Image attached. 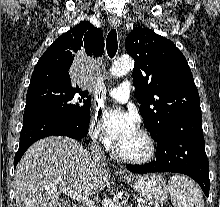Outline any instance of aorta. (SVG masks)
<instances>
[{"mask_svg":"<svg viewBox=\"0 0 220 207\" xmlns=\"http://www.w3.org/2000/svg\"><path fill=\"white\" fill-rule=\"evenodd\" d=\"M134 66V61L131 58H121L112 65L111 74L115 77H121L132 71Z\"/></svg>","mask_w":220,"mask_h":207,"instance_id":"762f6f07","label":"aorta"}]
</instances>
